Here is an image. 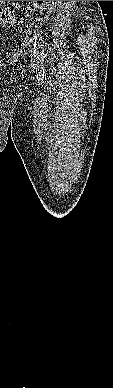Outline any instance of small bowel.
Segmentation results:
<instances>
[{
    "instance_id": "1",
    "label": "small bowel",
    "mask_w": 113,
    "mask_h": 388,
    "mask_svg": "<svg viewBox=\"0 0 113 388\" xmlns=\"http://www.w3.org/2000/svg\"><path fill=\"white\" fill-rule=\"evenodd\" d=\"M6 1H0V7H2L5 4ZM16 5V4H15Z\"/></svg>"
}]
</instances>
